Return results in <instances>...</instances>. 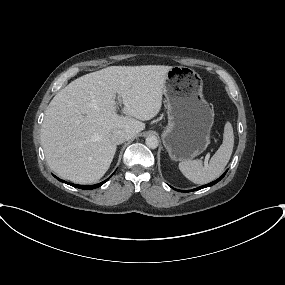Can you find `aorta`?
Returning a JSON list of instances; mask_svg holds the SVG:
<instances>
[{
  "label": "aorta",
  "instance_id": "1",
  "mask_svg": "<svg viewBox=\"0 0 285 285\" xmlns=\"http://www.w3.org/2000/svg\"><path fill=\"white\" fill-rule=\"evenodd\" d=\"M147 147L155 149L158 147L159 141L156 136H148L145 140Z\"/></svg>",
  "mask_w": 285,
  "mask_h": 285
}]
</instances>
